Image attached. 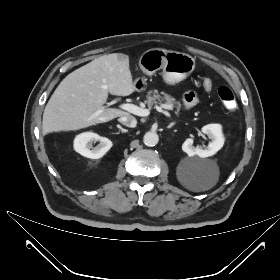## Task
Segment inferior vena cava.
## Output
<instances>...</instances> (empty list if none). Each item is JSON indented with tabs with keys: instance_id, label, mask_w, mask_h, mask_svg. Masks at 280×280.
<instances>
[{
	"instance_id": "1",
	"label": "inferior vena cava",
	"mask_w": 280,
	"mask_h": 280,
	"mask_svg": "<svg viewBox=\"0 0 280 280\" xmlns=\"http://www.w3.org/2000/svg\"><path fill=\"white\" fill-rule=\"evenodd\" d=\"M118 121H119L121 124H123V125H125V126H127V127H131V128H134V127H136V125H137V120H136V118H135L134 116H132V115L121 116V117L118 119Z\"/></svg>"
}]
</instances>
